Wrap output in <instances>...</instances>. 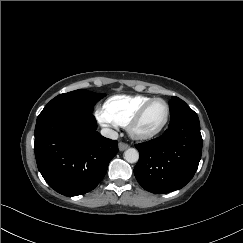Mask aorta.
I'll return each mask as SVG.
<instances>
[{
	"instance_id": "aorta-1",
	"label": "aorta",
	"mask_w": 243,
	"mask_h": 243,
	"mask_svg": "<svg viewBox=\"0 0 243 243\" xmlns=\"http://www.w3.org/2000/svg\"><path fill=\"white\" fill-rule=\"evenodd\" d=\"M124 159L129 163H135L139 159V153L135 148H129L124 152Z\"/></svg>"
}]
</instances>
